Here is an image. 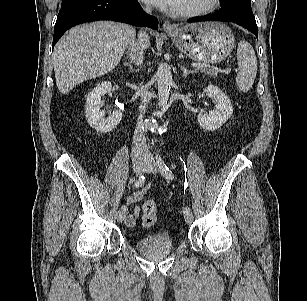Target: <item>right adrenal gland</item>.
<instances>
[{"instance_id":"obj_1","label":"right adrenal gland","mask_w":307,"mask_h":301,"mask_svg":"<svg viewBox=\"0 0 307 301\" xmlns=\"http://www.w3.org/2000/svg\"><path fill=\"white\" fill-rule=\"evenodd\" d=\"M124 65H125L126 67H128V69H129L130 72H134V69H133V66H132L131 63L125 62Z\"/></svg>"}]
</instances>
